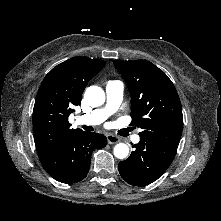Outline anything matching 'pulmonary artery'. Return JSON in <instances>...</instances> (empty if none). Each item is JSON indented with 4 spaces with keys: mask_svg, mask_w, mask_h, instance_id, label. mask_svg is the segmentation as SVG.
Wrapping results in <instances>:
<instances>
[{
    "mask_svg": "<svg viewBox=\"0 0 221 221\" xmlns=\"http://www.w3.org/2000/svg\"><path fill=\"white\" fill-rule=\"evenodd\" d=\"M105 91V106L78 117V123L86 125H98L104 122L109 116L118 110L123 98V83L119 81H110L107 83ZM132 140L134 143H138L140 141V137L135 135L133 136Z\"/></svg>",
    "mask_w": 221,
    "mask_h": 221,
    "instance_id": "pulmonary-artery-1",
    "label": "pulmonary artery"
}]
</instances>
